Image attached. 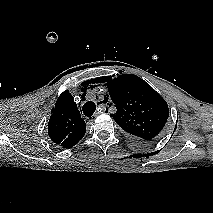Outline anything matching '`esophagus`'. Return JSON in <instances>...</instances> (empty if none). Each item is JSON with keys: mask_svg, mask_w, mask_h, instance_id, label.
Segmentation results:
<instances>
[{"mask_svg": "<svg viewBox=\"0 0 213 213\" xmlns=\"http://www.w3.org/2000/svg\"><path fill=\"white\" fill-rule=\"evenodd\" d=\"M99 107H101L103 111H106L107 109V106L104 104L99 105ZM92 121H93V118H90V119L88 118V123H91Z\"/></svg>", "mask_w": 213, "mask_h": 213, "instance_id": "1", "label": "esophagus"}]
</instances>
